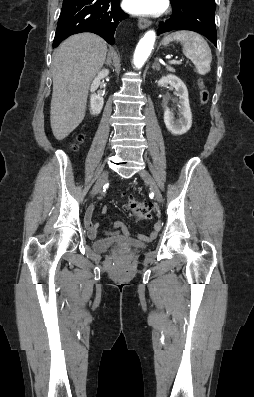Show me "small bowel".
I'll return each mask as SVG.
<instances>
[{
  "label": "small bowel",
  "instance_id": "obj_1",
  "mask_svg": "<svg viewBox=\"0 0 254 397\" xmlns=\"http://www.w3.org/2000/svg\"><path fill=\"white\" fill-rule=\"evenodd\" d=\"M93 212H94V207L91 206V207H89L87 209V211L85 213V216H84V223H85V226H86L87 231H88V236L91 239H94V238L97 237L98 232H99V228H100L99 224L94 222L93 219H92ZM104 212L105 213L107 212L106 208L104 209ZM159 229H160V224L156 223L155 227H154V231L151 234L150 238L154 237L157 234V232L159 231ZM119 231H121L122 233H124L126 235L128 234V231H127L125 225L122 222L117 221V222L114 223L113 232L117 233Z\"/></svg>",
  "mask_w": 254,
  "mask_h": 397
}]
</instances>
